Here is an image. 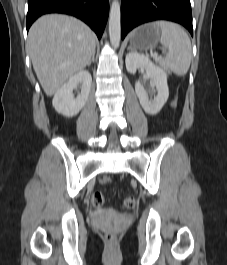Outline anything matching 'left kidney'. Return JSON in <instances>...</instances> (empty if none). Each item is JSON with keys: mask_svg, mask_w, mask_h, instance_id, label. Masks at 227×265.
<instances>
[{"mask_svg": "<svg viewBox=\"0 0 227 265\" xmlns=\"http://www.w3.org/2000/svg\"><path fill=\"white\" fill-rule=\"evenodd\" d=\"M125 63L129 73L135 74L137 69H145L148 78L153 81L157 90V95L154 96V99H149L140 81H136L135 83V92L144 111L150 115L157 114L169 97L167 74L165 70L152 63L148 56L136 52L128 53Z\"/></svg>", "mask_w": 227, "mask_h": 265, "instance_id": "5707ae66", "label": "left kidney"}]
</instances>
